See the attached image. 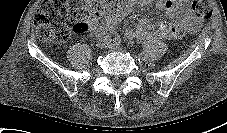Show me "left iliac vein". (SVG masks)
I'll list each match as a JSON object with an SVG mask.
<instances>
[{"instance_id":"obj_1","label":"left iliac vein","mask_w":227,"mask_h":133,"mask_svg":"<svg viewBox=\"0 0 227 133\" xmlns=\"http://www.w3.org/2000/svg\"><path fill=\"white\" fill-rule=\"evenodd\" d=\"M108 48L113 49V50H117V49H120V46L109 43Z\"/></svg>"}]
</instances>
